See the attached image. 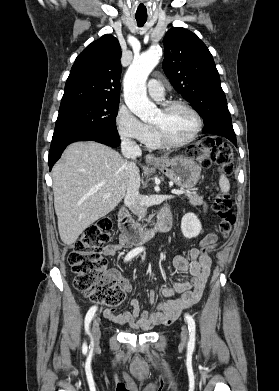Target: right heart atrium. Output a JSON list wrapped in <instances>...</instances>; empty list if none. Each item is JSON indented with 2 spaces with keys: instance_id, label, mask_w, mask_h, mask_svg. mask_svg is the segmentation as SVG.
Listing matches in <instances>:
<instances>
[{
  "instance_id": "right-heart-atrium-1",
  "label": "right heart atrium",
  "mask_w": 279,
  "mask_h": 391,
  "mask_svg": "<svg viewBox=\"0 0 279 391\" xmlns=\"http://www.w3.org/2000/svg\"><path fill=\"white\" fill-rule=\"evenodd\" d=\"M116 127L118 134L124 140L143 143L151 133V127L142 122L129 108L120 106L116 113Z\"/></svg>"
}]
</instances>
